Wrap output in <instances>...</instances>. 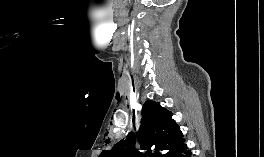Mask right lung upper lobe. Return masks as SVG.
Returning <instances> with one entry per match:
<instances>
[{
  "instance_id": "obj_1",
  "label": "right lung upper lobe",
  "mask_w": 264,
  "mask_h": 157,
  "mask_svg": "<svg viewBox=\"0 0 264 157\" xmlns=\"http://www.w3.org/2000/svg\"><path fill=\"white\" fill-rule=\"evenodd\" d=\"M142 115L137 137L141 150H148L146 153L135 149V135L130 132L125 139L116 143L111 150L103 151L99 157H154V154L148 153L151 147L167 153L183 140L180 127L172 119V113L159 103L146 101Z\"/></svg>"
}]
</instances>
